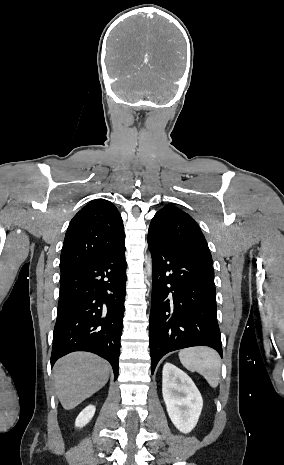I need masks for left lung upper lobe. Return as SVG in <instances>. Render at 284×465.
I'll return each mask as SVG.
<instances>
[{
	"mask_svg": "<svg viewBox=\"0 0 284 465\" xmlns=\"http://www.w3.org/2000/svg\"><path fill=\"white\" fill-rule=\"evenodd\" d=\"M148 237L178 253L213 264L206 239L196 221L174 206H165L151 221Z\"/></svg>",
	"mask_w": 284,
	"mask_h": 465,
	"instance_id": "5c2ea615",
	"label": "left lung upper lobe"
}]
</instances>
